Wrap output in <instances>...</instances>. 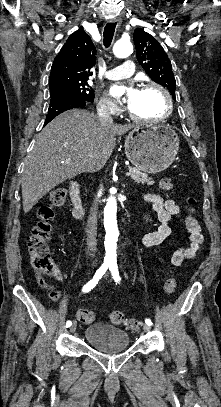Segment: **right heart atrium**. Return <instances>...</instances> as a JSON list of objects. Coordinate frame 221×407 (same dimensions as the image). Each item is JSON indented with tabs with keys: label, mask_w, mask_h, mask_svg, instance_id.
Instances as JSON below:
<instances>
[{
	"label": "right heart atrium",
	"mask_w": 221,
	"mask_h": 407,
	"mask_svg": "<svg viewBox=\"0 0 221 407\" xmlns=\"http://www.w3.org/2000/svg\"><path fill=\"white\" fill-rule=\"evenodd\" d=\"M97 110L100 113H107V114H118L119 108L118 106L108 97H101L97 102Z\"/></svg>",
	"instance_id": "d8ad5b80"
}]
</instances>
